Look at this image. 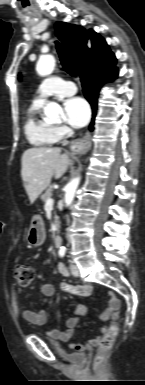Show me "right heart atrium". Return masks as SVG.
I'll return each mask as SVG.
<instances>
[{
	"label": "right heart atrium",
	"instance_id": "1",
	"mask_svg": "<svg viewBox=\"0 0 145 385\" xmlns=\"http://www.w3.org/2000/svg\"><path fill=\"white\" fill-rule=\"evenodd\" d=\"M68 130L65 126H57L55 127V133L58 137V139H61L67 134Z\"/></svg>",
	"mask_w": 145,
	"mask_h": 385
}]
</instances>
